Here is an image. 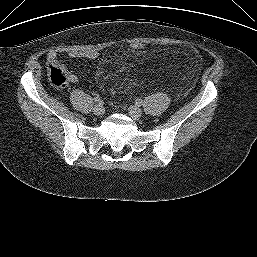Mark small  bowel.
<instances>
[{
  "mask_svg": "<svg viewBox=\"0 0 257 257\" xmlns=\"http://www.w3.org/2000/svg\"><path fill=\"white\" fill-rule=\"evenodd\" d=\"M59 53H65L67 56L71 58H88V59H96L98 57V52L95 50H50L47 54V63L50 65L52 63H56V59ZM120 70H125V65H120L118 67ZM69 81H76V77L73 74L68 75Z\"/></svg>",
  "mask_w": 257,
  "mask_h": 257,
  "instance_id": "small-bowel-1",
  "label": "small bowel"
}]
</instances>
